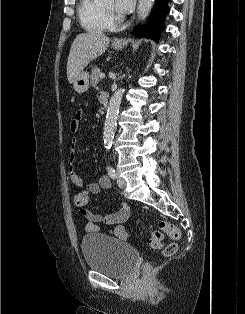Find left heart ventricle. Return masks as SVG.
<instances>
[{"label": "left heart ventricle", "mask_w": 245, "mask_h": 314, "mask_svg": "<svg viewBox=\"0 0 245 314\" xmlns=\"http://www.w3.org/2000/svg\"><path fill=\"white\" fill-rule=\"evenodd\" d=\"M102 5L108 10L115 11V0H105Z\"/></svg>", "instance_id": "b2bd125f"}]
</instances>
